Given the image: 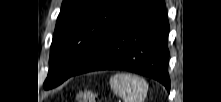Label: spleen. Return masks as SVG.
<instances>
[{"label":"spleen","mask_w":221,"mask_h":102,"mask_svg":"<svg viewBox=\"0 0 221 102\" xmlns=\"http://www.w3.org/2000/svg\"><path fill=\"white\" fill-rule=\"evenodd\" d=\"M110 86L123 102H143L148 91V85L143 78L128 73L111 76Z\"/></svg>","instance_id":"spleen-1"}]
</instances>
